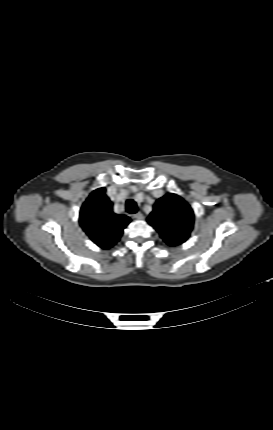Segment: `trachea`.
Returning a JSON list of instances; mask_svg holds the SVG:
<instances>
[{
	"mask_svg": "<svg viewBox=\"0 0 273 430\" xmlns=\"http://www.w3.org/2000/svg\"><path fill=\"white\" fill-rule=\"evenodd\" d=\"M126 210L130 214H134L137 212V204L133 199H129L126 201Z\"/></svg>",
	"mask_w": 273,
	"mask_h": 430,
	"instance_id": "trachea-1",
	"label": "trachea"
}]
</instances>
